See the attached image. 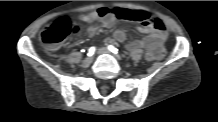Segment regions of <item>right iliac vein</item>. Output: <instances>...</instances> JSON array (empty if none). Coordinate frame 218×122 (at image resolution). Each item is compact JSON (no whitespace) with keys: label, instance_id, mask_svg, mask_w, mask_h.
Wrapping results in <instances>:
<instances>
[{"label":"right iliac vein","instance_id":"63e3f726","mask_svg":"<svg viewBox=\"0 0 218 122\" xmlns=\"http://www.w3.org/2000/svg\"><path fill=\"white\" fill-rule=\"evenodd\" d=\"M92 63V57L89 56L87 58H85L82 62V66L83 67H88L90 64Z\"/></svg>","mask_w":218,"mask_h":122}]
</instances>
